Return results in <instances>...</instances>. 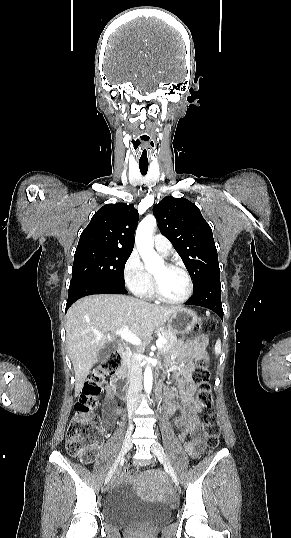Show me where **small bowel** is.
<instances>
[{
  "mask_svg": "<svg viewBox=\"0 0 291 538\" xmlns=\"http://www.w3.org/2000/svg\"><path fill=\"white\" fill-rule=\"evenodd\" d=\"M202 342L203 340L199 339L194 346L183 352L177 359L174 380L180 394V403L174 401L175 393L171 389H167L161 396L167 414L173 415L179 412L175 421L177 427L180 428L178 438L183 443L187 454L193 459H196L203 451L205 439V433L198 417L201 407L193 404L196 386L190 380L193 357L199 352ZM113 388L114 382L111 381L106 386L105 426L107 427H112L115 416L122 413L121 407L116 403Z\"/></svg>",
  "mask_w": 291,
  "mask_h": 538,
  "instance_id": "1",
  "label": "small bowel"
}]
</instances>
